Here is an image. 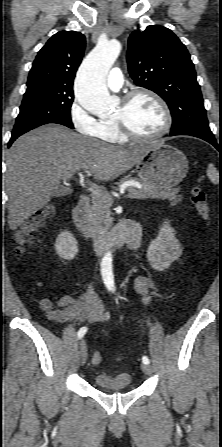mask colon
Listing matches in <instances>:
<instances>
[{"instance_id": "obj_1", "label": "colon", "mask_w": 222, "mask_h": 447, "mask_svg": "<svg viewBox=\"0 0 222 447\" xmlns=\"http://www.w3.org/2000/svg\"><path fill=\"white\" fill-rule=\"evenodd\" d=\"M192 202L200 215V217L208 222L210 220V206L207 202L205 192L198 186L191 190ZM54 214L52 207H46L27 220L17 231L14 236V247L17 253L23 252L26 245H28L34 234L42 228L47 220ZM101 354L96 352L92 355V362L98 364L101 362Z\"/></svg>"}]
</instances>
